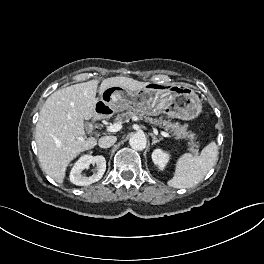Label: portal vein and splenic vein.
I'll return each mask as SVG.
<instances>
[{"instance_id":"obj_1","label":"portal vein and splenic vein","mask_w":264,"mask_h":264,"mask_svg":"<svg viewBox=\"0 0 264 264\" xmlns=\"http://www.w3.org/2000/svg\"><path fill=\"white\" fill-rule=\"evenodd\" d=\"M121 128H122V123H115L113 125L108 126L106 130L108 132H118L121 130ZM161 135L167 138L171 137L169 133L164 131H161Z\"/></svg>"}]
</instances>
